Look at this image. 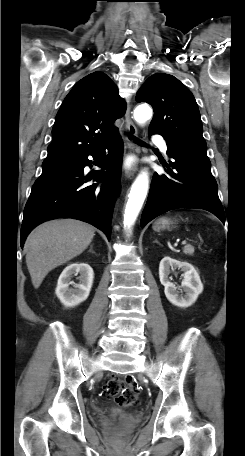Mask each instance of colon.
I'll use <instances>...</instances> for the list:
<instances>
[{
	"label": "colon",
	"mask_w": 245,
	"mask_h": 456,
	"mask_svg": "<svg viewBox=\"0 0 245 456\" xmlns=\"http://www.w3.org/2000/svg\"><path fill=\"white\" fill-rule=\"evenodd\" d=\"M108 398L124 407L135 406L139 403L140 386L132 377H109L104 386Z\"/></svg>",
	"instance_id": "colon-1"
}]
</instances>
